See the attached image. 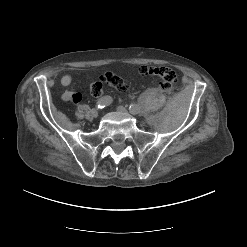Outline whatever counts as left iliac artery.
<instances>
[{
    "mask_svg": "<svg viewBox=\"0 0 247 247\" xmlns=\"http://www.w3.org/2000/svg\"><path fill=\"white\" fill-rule=\"evenodd\" d=\"M129 110L132 114H138L140 112V107L137 104H131Z\"/></svg>",
    "mask_w": 247,
    "mask_h": 247,
    "instance_id": "1",
    "label": "left iliac artery"
}]
</instances>
